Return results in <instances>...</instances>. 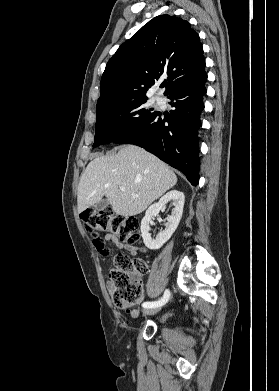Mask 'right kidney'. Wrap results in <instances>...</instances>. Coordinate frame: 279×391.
<instances>
[{
	"instance_id": "1",
	"label": "right kidney",
	"mask_w": 279,
	"mask_h": 391,
	"mask_svg": "<svg viewBox=\"0 0 279 391\" xmlns=\"http://www.w3.org/2000/svg\"><path fill=\"white\" fill-rule=\"evenodd\" d=\"M168 202L172 203L174 209L172 210L171 215L167 217L165 229L161 230L155 238H152L149 224L151 223L152 219L158 215L160 210L165 208V205ZM184 202L185 196L183 192L178 190H171L162 196L157 203H154L146 210L145 216L141 221V235L147 248L151 250L159 249L171 238L181 220Z\"/></svg>"
}]
</instances>
